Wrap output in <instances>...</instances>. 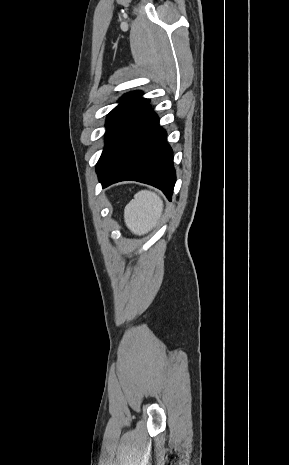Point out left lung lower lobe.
Segmentation results:
<instances>
[{
  "mask_svg": "<svg viewBox=\"0 0 289 465\" xmlns=\"http://www.w3.org/2000/svg\"><path fill=\"white\" fill-rule=\"evenodd\" d=\"M165 137L158 116L148 105L122 141L96 167L102 186L135 180L159 188L171 200L176 175L173 152Z\"/></svg>",
  "mask_w": 289,
  "mask_h": 465,
  "instance_id": "obj_1",
  "label": "left lung lower lobe"
}]
</instances>
